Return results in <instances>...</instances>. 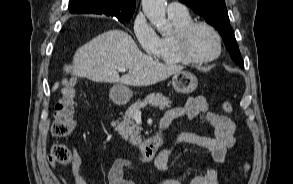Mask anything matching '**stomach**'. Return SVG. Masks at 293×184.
Segmentation results:
<instances>
[{"label":"stomach","instance_id":"obj_1","mask_svg":"<svg viewBox=\"0 0 293 184\" xmlns=\"http://www.w3.org/2000/svg\"><path fill=\"white\" fill-rule=\"evenodd\" d=\"M197 85L196 76L188 71H180L172 77V86L178 93H192L197 88ZM110 97L115 103L124 104L132 97V91L125 85H114L110 90Z\"/></svg>","mask_w":293,"mask_h":184}]
</instances>
